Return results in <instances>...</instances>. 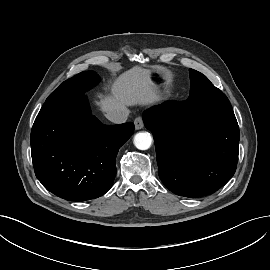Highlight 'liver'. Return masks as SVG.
<instances>
[{"instance_id":"1","label":"liver","mask_w":270,"mask_h":270,"mask_svg":"<svg viewBox=\"0 0 270 270\" xmlns=\"http://www.w3.org/2000/svg\"><path fill=\"white\" fill-rule=\"evenodd\" d=\"M111 91L112 95L100 102L103 112L120 106L153 105L161 100L150 70L137 66L120 75Z\"/></svg>"}]
</instances>
